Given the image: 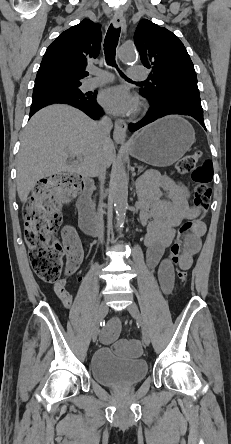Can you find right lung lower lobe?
I'll list each match as a JSON object with an SVG mask.
<instances>
[{
	"mask_svg": "<svg viewBox=\"0 0 231 444\" xmlns=\"http://www.w3.org/2000/svg\"><path fill=\"white\" fill-rule=\"evenodd\" d=\"M55 103L69 104L77 107L93 119H96L100 114H102V110L96 102V94L91 95L87 99L79 100L61 95H44L33 98L30 108V116H32L39 109Z\"/></svg>",
	"mask_w": 231,
	"mask_h": 444,
	"instance_id": "right-lung-lower-lobe-1",
	"label": "right lung lower lobe"
}]
</instances>
